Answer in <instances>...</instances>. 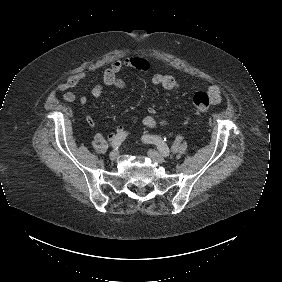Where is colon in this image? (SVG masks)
Segmentation results:
<instances>
[{
  "label": "colon",
  "instance_id": "1",
  "mask_svg": "<svg viewBox=\"0 0 282 282\" xmlns=\"http://www.w3.org/2000/svg\"><path fill=\"white\" fill-rule=\"evenodd\" d=\"M213 103H215V100L210 97L209 93L201 91L193 96V105L199 113L206 111Z\"/></svg>",
  "mask_w": 282,
  "mask_h": 282
}]
</instances>
